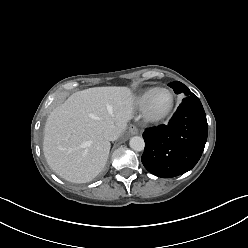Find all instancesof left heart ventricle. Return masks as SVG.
Here are the masks:
<instances>
[{
  "label": "left heart ventricle",
  "instance_id": "obj_1",
  "mask_svg": "<svg viewBox=\"0 0 248 248\" xmlns=\"http://www.w3.org/2000/svg\"><path fill=\"white\" fill-rule=\"evenodd\" d=\"M168 102V97L166 94H158L153 100V108L154 109H161L163 108Z\"/></svg>",
  "mask_w": 248,
  "mask_h": 248
}]
</instances>
